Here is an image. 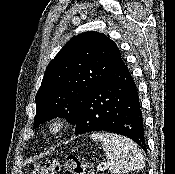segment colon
Instances as JSON below:
<instances>
[{"mask_svg": "<svg viewBox=\"0 0 175 174\" xmlns=\"http://www.w3.org/2000/svg\"><path fill=\"white\" fill-rule=\"evenodd\" d=\"M62 168L67 169L71 174H93L91 166L74 155H69L64 162L57 160L40 161L36 163L29 174H56Z\"/></svg>", "mask_w": 175, "mask_h": 174, "instance_id": "colon-1", "label": "colon"}]
</instances>
